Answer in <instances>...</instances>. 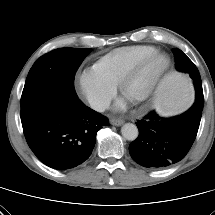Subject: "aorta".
<instances>
[{
  "instance_id": "1",
  "label": "aorta",
  "mask_w": 215,
  "mask_h": 215,
  "mask_svg": "<svg viewBox=\"0 0 215 215\" xmlns=\"http://www.w3.org/2000/svg\"><path fill=\"white\" fill-rule=\"evenodd\" d=\"M121 133L122 136L129 141H134L139 134L137 126L132 123L124 124L121 128Z\"/></svg>"
}]
</instances>
